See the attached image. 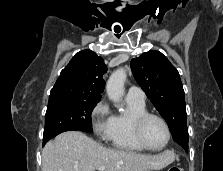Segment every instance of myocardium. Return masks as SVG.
Instances as JSON below:
<instances>
[{
	"label": "myocardium",
	"instance_id": "myocardium-1",
	"mask_svg": "<svg viewBox=\"0 0 223 171\" xmlns=\"http://www.w3.org/2000/svg\"><path fill=\"white\" fill-rule=\"evenodd\" d=\"M149 118H156V119H158L159 121L162 122V124L166 128L167 139H166L165 143L161 147H152V146H150L145 141V139L143 137V126H144L145 122ZM132 126H133V133H134V136H135L136 140L138 141V143L141 146H143L147 150L160 151V150L164 149L169 144V142L171 140V129H170V126H169L168 122L166 121V119L164 117H162L161 115H159V114L151 113V112L142 113V114L134 117Z\"/></svg>",
	"mask_w": 223,
	"mask_h": 171
}]
</instances>
